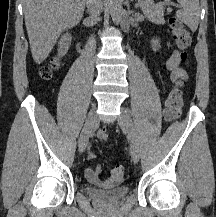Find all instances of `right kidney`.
Returning <instances> with one entry per match:
<instances>
[{"instance_id": "right-kidney-1", "label": "right kidney", "mask_w": 216, "mask_h": 217, "mask_svg": "<svg viewBox=\"0 0 216 217\" xmlns=\"http://www.w3.org/2000/svg\"><path fill=\"white\" fill-rule=\"evenodd\" d=\"M70 45H71V35L69 33H66L61 37L59 41V49H58L59 55L64 56L67 53Z\"/></svg>"}]
</instances>
